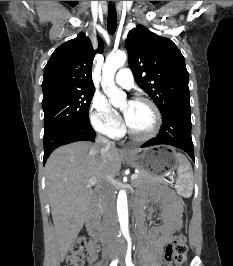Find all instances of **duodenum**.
I'll return each mask as SVG.
<instances>
[{
    "label": "duodenum",
    "mask_w": 233,
    "mask_h": 266,
    "mask_svg": "<svg viewBox=\"0 0 233 266\" xmlns=\"http://www.w3.org/2000/svg\"><path fill=\"white\" fill-rule=\"evenodd\" d=\"M135 214L137 219L142 215V211L137 205L135 206ZM87 228L90 236L94 240L102 241L105 239V233L100 223L99 197L97 194L94 195L90 203Z\"/></svg>",
    "instance_id": "duodenum-1"
}]
</instances>
